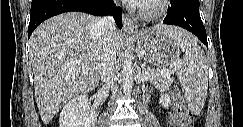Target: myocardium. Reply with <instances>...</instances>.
<instances>
[{
    "instance_id": "f54148a6",
    "label": "myocardium",
    "mask_w": 243,
    "mask_h": 127,
    "mask_svg": "<svg viewBox=\"0 0 243 127\" xmlns=\"http://www.w3.org/2000/svg\"><path fill=\"white\" fill-rule=\"evenodd\" d=\"M167 0H148L137 6V14L143 20H154L167 10Z\"/></svg>"
}]
</instances>
